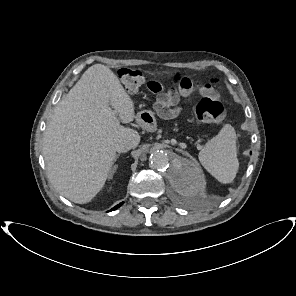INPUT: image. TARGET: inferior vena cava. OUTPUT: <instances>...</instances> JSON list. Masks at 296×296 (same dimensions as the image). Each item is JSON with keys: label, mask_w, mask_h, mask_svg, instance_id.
<instances>
[{"label": "inferior vena cava", "mask_w": 296, "mask_h": 296, "mask_svg": "<svg viewBox=\"0 0 296 296\" xmlns=\"http://www.w3.org/2000/svg\"><path fill=\"white\" fill-rule=\"evenodd\" d=\"M134 147L133 143L129 140H120L115 144V150L117 152H127Z\"/></svg>", "instance_id": "1"}]
</instances>
